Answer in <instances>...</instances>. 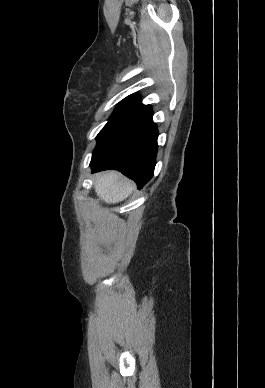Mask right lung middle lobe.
<instances>
[{
    "label": "right lung middle lobe",
    "mask_w": 265,
    "mask_h": 388,
    "mask_svg": "<svg viewBox=\"0 0 265 388\" xmlns=\"http://www.w3.org/2000/svg\"><path fill=\"white\" fill-rule=\"evenodd\" d=\"M146 107L147 105H143L141 100L137 98L127 97L122 100L109 118L108 123L97 135L96 147L113 136Z\"/></svg>",
    "instance_id": "1"
}]
</instances>
